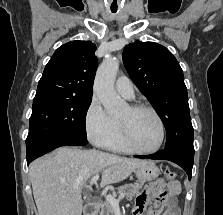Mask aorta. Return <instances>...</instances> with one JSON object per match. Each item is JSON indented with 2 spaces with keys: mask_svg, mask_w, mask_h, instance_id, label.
I'll use <instances>...</instances> for the list:
<instances>
[{
  "mask_svg": "<svg viewBox=\"0 0 223 215\" xmlns=\"http://www.w3.org/2000/svg\"><path fill=\"white\" fill-rule=\"evenodd\" d=\"M118 70L119 60L111 58V56H105L96 72L93 86L94 94L103 104L106 113H109L112 117L120 115L123 109L126 108V102L120 100L114 90V82Z\"/></svg>",
  "mask_w": 223,
  "mask_h": 215,
  "instance_id": "aorta-1",
  "label": "aorta"
}]
</instances>
